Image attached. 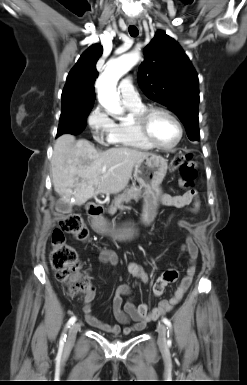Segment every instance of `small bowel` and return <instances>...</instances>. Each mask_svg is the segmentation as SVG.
I'll return each instance as SVG.
<instances>
[{"mask_svg": "<svg viewBox=\"0 0 247 385\" xmlns=\"http://www.w3.org/2000/svg\"><path fill=\"white\" fill-rule=\"evenodd\" d=\"M161 204L165 206L184 208L192 205L191 212L196 213L199 208V197L195 190L187 191L183 194H162L160 196ZM178 225L182 228H190L191 223L186 220H181ZM181 251L186 252L189 257V264L186 268L185 275L178 281L176 290L172 297L169 299L161 300L157 306L152 309L145 303L135 305L130 298L131 289L127 284H121L118 286L116 293L112 300V311L116 324L106 323L92 313L90 302L95 297V287L93 286L89 294L85 298L86 304L84 305V316L86 321L93 327L108 332L114 335L123 333L128 335L135 331H141L150 322L157 320L160 316L170 311L179 301L189 288L193 277L196 272V263L198 259V248L191 236H188L186 242L181 246ZM98 260L103 264H110L116 266L118 264L117 254L109 249L102 250L99 254ZM128 272L135 278L141 280L144 283L150 281L149 274L135 262H130L127 265ZM178 279V271L176 269H168L161 276H159L156 282L153 284V294L156 297H160L165 287ZM128 297L127 301L123 303V298ZM124 325V328H121Z\"/></svg>", "mask_w": 247, "mask_h": 385, "instance_id": "small-bowel-1", "label": "small bowel"}]
</instances>
